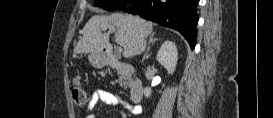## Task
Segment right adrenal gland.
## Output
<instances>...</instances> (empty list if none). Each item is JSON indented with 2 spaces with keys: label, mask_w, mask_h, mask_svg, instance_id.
Segmentation results:
<instances>
[{
  "label": "right adrenal gland",
  "mask_w": 273,
  "mask_h": 118,
  "mask_svg": "<svg viewBox=\"0 0 273 118\" xmlns=\"http://www.w3.org/2000/svg\"><path fill=\"white\" fill-rule=\"evenodd\" d=\"M154 36H155V32H153V33L150 35V37H149V44H148L146 53H145V55H144V57H143V60H145L146 58L149 57L148 54H149V51H150V45H151V44H154L157 40H159V39H157V38H154Z\"/></svg>",
  "instance_id": "right-adrenal-gland-1"
}]
</instances>
